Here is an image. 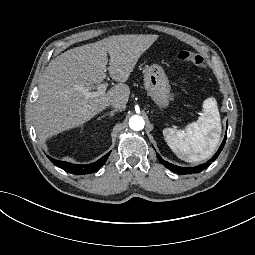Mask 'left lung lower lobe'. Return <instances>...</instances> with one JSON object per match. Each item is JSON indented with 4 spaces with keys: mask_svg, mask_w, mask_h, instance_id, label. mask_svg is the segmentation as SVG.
Segmentation results:
<instances>
[{
    "mask_svg": "<svg viewBox=\"0 0 255 255\" xmlns=\"http://www.w3.org/2000/svg\"><path fill=\"white\" fill-rule=\"evenodd\" d=\"M226 137H227V132H226L225 138H224L219 150L216 152L214 157L208 163L202 164V165H199V166H196V167H178L176 165L170 164L167 161L163 160L159 155H157V157L165 167H167L169 170H171L175 173H178V174H181V175L191 174V173H198V172L203 171L206 167H208L211 164V162H213L218 157V155L220 154L221 150L224 147V144L226 142Z\"/></svg>",
    "mask_w": 255,
    "mask_h": 255,
    "instance_id": "1",
    "label": "left lung lower lobe"
}]
</instances>
